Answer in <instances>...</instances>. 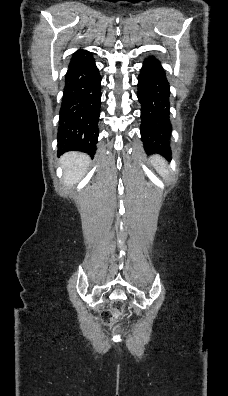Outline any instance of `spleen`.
I'll return each instance as SVG.
<instances>
[{"label": "spleen", "mask_w": 228, "mask_h": 396, "mask_svg": "<svg viewBox=\"0 0 228 396\" xmlns=\"http://www.w3.org/2000/svg\"><path fill=\"white\" fill-rule=\"evenodd\" d=\"M151 163L163 178L166 179L169 177V170L167 169V163L162 157L160 156L151 157Z\"/></svg>", "instance_id": "spleen-1"}]
</instances>
